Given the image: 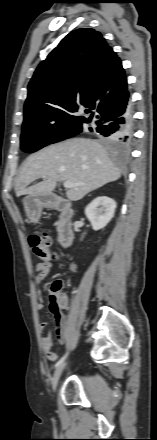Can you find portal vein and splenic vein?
Instances as JSON below:
<instances>
[{"instance_id":"portal-vein-and-splenic-vein-1","label":"portal vein and splenic vein","mask_w":157,"mask_h":440,"mask_svg":"<svg viewBox=\"0 0 157 440\" xmlns=\"http://www.w3.org/2000/svg\"><path fill=\"white\" fill-rule=\"evenodd\" d=\"M74 185L70 182V181H65L64 182V187L66 189L72 188Z\"/></svg>"}]
</instances>
